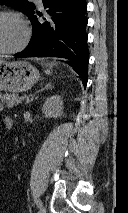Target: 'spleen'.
<instances>
[{
	"label": "spleen",
	"mask_w": 128,
	"mask_h": 213,
	"mask_svg": "<svg viewBox=\"0 0 128 213\" xmlns=\"http://www.w3.org/2000/svg\"><path fill=\"white\" fill-rule=\"evenodd\" d=\"M45 73L49 75V74H51V71L48 69L45 71Z\"/></svg>",
	"instance_id": "1"
}]
</instances>
